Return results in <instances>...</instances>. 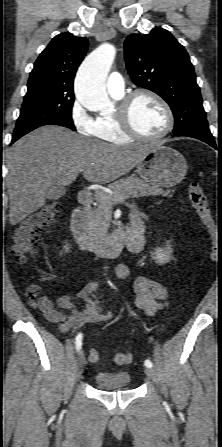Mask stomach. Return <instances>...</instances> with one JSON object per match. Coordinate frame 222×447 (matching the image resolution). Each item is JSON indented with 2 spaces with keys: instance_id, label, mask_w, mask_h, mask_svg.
<instances>
[{
  "instance_id": "1",
  "label": "stomach",
  "mask_w": 222,
  "mask_h": 447,
  "mask_svg": "<svg viewBox=\"0 0 222 447\" xmlns=\"http://www.w3.org/2000/svg\"><path fill=\"white\" fill-rule=\"evenodd\" d=\"M187 163L182 154L171 147L154 145L137 165L142 179L159 187L179 184L187 173Z\"/></svg>"
}]
</instances>
